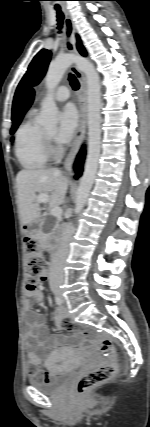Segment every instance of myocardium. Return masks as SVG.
Here are the masks:
<instances>
[{
  "label": "myocardium",
  "mask_w": 150,
  "mask_h": 427,
  "mask_svg": "<svg viewBox=\"0 0 150 427\" xmlns=\"http://www.w3.org/2000/svg\"><path fill=\"white\" fill-rule=\"evenodd\" d=\"M44 149L48 157H56L59 155L58 149L53 145L52 137L46 132L43 133Z\"/></svg>",
  "instance_id": "myocardium-1"
}]
</instances>
